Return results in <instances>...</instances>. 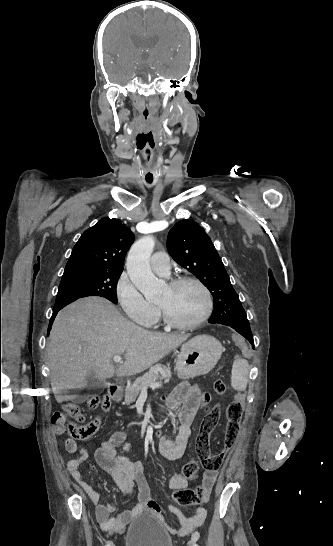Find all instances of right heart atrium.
Segmentation results:
<instances>
[{"instance_id": "1", "label": "right heart atrium", "mask_w": 333, "mask_h": 546, "mask_svg": "<svg viewBox=\"0 0 333 546\" xmlns=\"http://www.w3.org/2000/svg\"><path fill=\"white\" fill-rule=\"evenodd\" d=\"M115 295L123 313L130 320L143 326H150L157 320L158 308L145 299L126 273L118 279Z\"/></svg>"}]
</instances>
